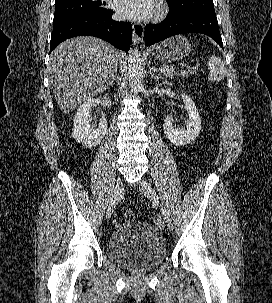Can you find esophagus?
Wrapping results in <instances>:
<instances>
[{
	"mask_svg": "<svg viewBox=\"0 0 272 303\" xmlns=\"http://www.w3.org/2000/svg\"><path fill=\"white\" fill-rule=\"evenodd\" d=\"M132 28H133L134 42L141 43L143 41V37H144V26H143V24L133 23Z\"/></svg>",
	"mask_w": 272,
	"mask_h": 303,
	"instance_id": "esophagus-1",
	"label": "esophagus"
}]
</instances>
